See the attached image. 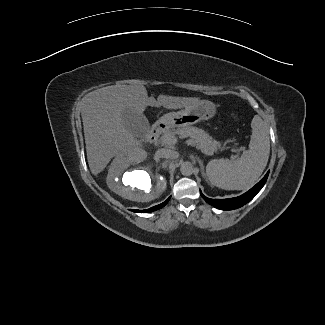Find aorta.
<instances>
[{
	"instance_id": "aorta-1",
	"label": "aorta",
	"mask_w": 325,
	"mask_h": 325,
	"mask_svg": "<svg viewBox=\"0 0 325 325\" xmlns=\"http://www.w3.org/2000/svg\"><path fill=\"white\" fill-rule=\"evenodd\" d=\"M180 172L184 176H190L193 173V166L190 162H184L180 166Z\"/></svg>"
}]
</instances>
